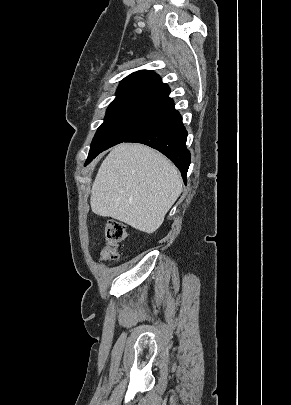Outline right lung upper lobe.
Here are the masks:
<instances>
[{
	"instance_id": "right-lung-upper-lobe-1",
	"label": "right lung upper lobe",
	"mask_w": 291,
	"mask_h": 405,
	"mask_svg": "<svg viewBox=\"0 0 291 405\" xmlns=\"http://www.w3.org/2000/svg\"><path fill=\"white\" fill-rule=\"evenodd\" d=\"M170 89L153 71L141 70L124 78L111 102L119 103L132 100H144L159 104L174 105L169 98Z\"/></svg>"
}]
</instances>
